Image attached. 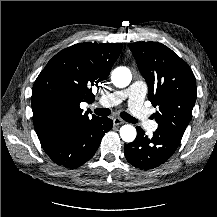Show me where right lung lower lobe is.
<instances>
[{
	"mask_svg": "<svg viewBox=\"0 0 217 217\" xmlns=\"http://www.w3.org/2000/svg\"><path fill=\"white\" fill-rule=\"evenodd\" d=\"M113 126L109 118L96 117L78 128L40 140L47 155L58 165L76 168L90 160L103 135Z\"/></svg>",
	"mask_w": 217,
	"mask_h": 217,
	"instance_id": "obj_1",
	"label": "right lung lower lobe"
}]
</instances>
